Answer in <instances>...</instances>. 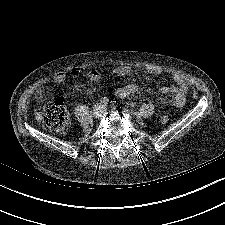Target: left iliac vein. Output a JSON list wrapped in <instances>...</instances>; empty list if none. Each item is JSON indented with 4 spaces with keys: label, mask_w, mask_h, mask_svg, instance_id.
<instances>
[{
    "label": "left iliac vein",
    "mask_w": 225,
    "mask_h": 225,
    "mask_svg": "<svg viewBox=\"0 0 225 225\" xmlns=\"http://www.w3.org/2000/svg\"><path fill=\"white\" fill-rule=\"evenodd\" d=\"M104 111H107V107H104Z\"/></svg>",
    "instance_id": "obj_1"
}]
</instances>
